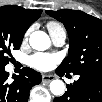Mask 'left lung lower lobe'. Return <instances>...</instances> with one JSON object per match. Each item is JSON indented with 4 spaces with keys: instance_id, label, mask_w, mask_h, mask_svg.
I'll use <instances>...</instances> for the list:
<instances>
[{
    "instance_id": "0a47b994",
    "label": "left lung lower lobe",
    "mask_w": 102,
    "mask_h": 102,
    "mask_svg": "<svg viewBox=\"0 0 102 102\" xmlns=\"http://www.w3.org/2000/svg\"><path fill=\"white\" fill-rule=\"evenodd\" d=\"M57 74H64L57 71ZM78 81L67 86V91L54 102H101L102 101V74H79Z\"/></svg>"
}]
</instances>
